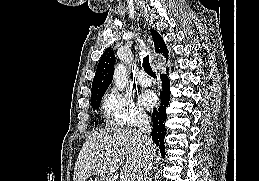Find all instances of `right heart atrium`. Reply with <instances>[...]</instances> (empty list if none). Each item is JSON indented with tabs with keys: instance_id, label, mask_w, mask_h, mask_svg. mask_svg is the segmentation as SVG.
<instances>
[{
	"instance_id": "right-heart-atrium-1",
	"label": "right heart atrium",
	"mask_w": 259,
	"mask_h": 181,
	"mask_svg": "<svg viewBox=\"0 0 259 181\" xmlns=\"http://www.w3.org/2000/svg\"><path fill=\"white\" fill-rule=\"evenodd\" d=\"M102 112L109 126L122 129L141 125L147 119L132 96L118 89H111L104 95Z\"/></svg>"
}]
</instances>
